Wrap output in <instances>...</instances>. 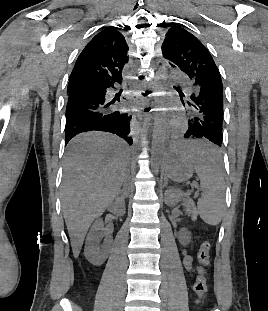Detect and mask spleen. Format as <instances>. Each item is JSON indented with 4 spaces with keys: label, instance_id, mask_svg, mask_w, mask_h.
Returning <instances> with one entry per match:
<instances>
[{
    "label": "spleen",
    "instance_id": "1",
    "mask_svg": "<svg viewBox=\"0 0 268 311\" xmlns=\"http://www.w3.org/2000/svg\"><path fill=\"white\" fill-rule=\"evenodd\" d=\"M184 146L191 147V160L200 179L202 193L197 202L200 217L209 225H218L225 209L221 149L218 144H208L207 140H185Z\"/></svg>",
    "mask_w": 268,
    "mask_h": 311
}]
</instances>
